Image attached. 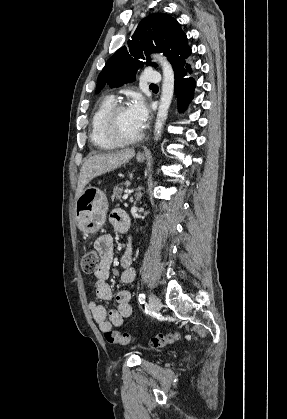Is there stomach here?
I'll return each instance as SVG.
<instances>
[{"mask_svg": "<svg viewBox=\"0 0 287 419\" xmlns=\"http://www.w3.org/2000/svg\"><path fill=\"white\" fill-rule=\"evenodd\" d=\"M138 162L145 160L144 156L137 155ZM108 201L100 189L88 186L75 203V217L79 228L87 234L98 232L106 221Z\"/></svg>", "mask_w": 287, "mask_h": 419, "instance_id": "0dacf381", "label": "stomach"}]
</instances>
